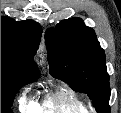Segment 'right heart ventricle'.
<instances>
[{
	"instance_id": "1",
	"label": "right heart ventricle",
	"mask_w": 121,
	"mask_h": 113,
	"mask_svg": "<svg viewBox=\"0 0 121 113\" xmlns=\"http://www.w3.org/2000/svg\"><path fill=\"white\" fill-rule=\"evenodd\" d=\"M71 103H73L75 109H85L81 103L73 101L72 98L62 93L23 100L21 101V109L24 113H56L57 110L70 109Z\"/></svg>"
}]
</instances>
